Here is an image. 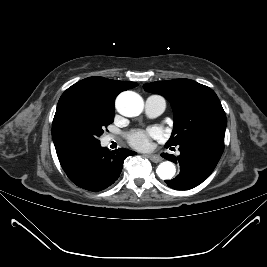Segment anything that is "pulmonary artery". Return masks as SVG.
<instances>
[{
  "label": "pulmonary artery",
  "mask_w": 267,
  "mask_h": 267,
  "mask_svg": "<svg viewBox=\"0 0 267 267\" xmlns=\"http://www.w3.org/2000/svg\"><path fill=\"white\" fill-rule=\"evenodd\" d=\"M166 108V100L159 95H151L145 101V111L148 116L156 117L161 115Z\"/></svg>",
  "instance_id": "pulmonary-artery-1"
}]
</instances>
